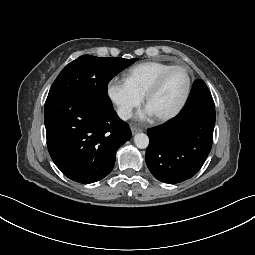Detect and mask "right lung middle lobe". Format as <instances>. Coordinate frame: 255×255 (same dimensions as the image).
Wrapping results in <instances>:
<instances>
[{
  "label": "right lung middle lobe",
  "mask_w": 255,
  "mask_h": 255,
  "mask_svg": "<svg viewBox=\"0 0 255 255\" xmlns=\"http://www.w3.org/2000/svg\"><path fill=\"white\" fill-rule=\"evenodd\" d=\"M136 60L137 58L80 56L60 72L48 95L76 94L92 99L102 107L112 109L107 93L108 83Z\"/></svg>",
  "instance_id": "dd1d6c3e"
}]
</instances>
